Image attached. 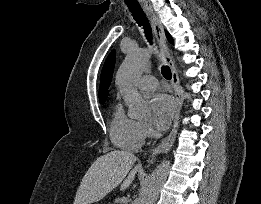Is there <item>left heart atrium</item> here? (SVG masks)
Returning a JSON list of instances; mask_svg holds the SVG:
<instances>
[{
    "label": "left heart atrium",
    "mask_w": 261,
    "mask_h": 204,
    "mask_svg": "<svg viewBox=\"0 0 261 204\" xmlns=\"http://www.w3.org/2000/svg\"><path fill=\"white\" fill-rule=\"evenodd\" d=\"M152 122L158 130L169 127L174 113L175 104L172 98L166 94L158 93L151 100Z\"/></svg>",
    "instance_id": "left-heart-atrium-1"
}]
</instances>
